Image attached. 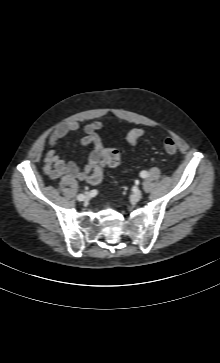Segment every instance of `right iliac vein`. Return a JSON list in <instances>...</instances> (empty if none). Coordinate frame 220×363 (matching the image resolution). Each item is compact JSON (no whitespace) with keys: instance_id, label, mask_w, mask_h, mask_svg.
<instances>
[{"instance_id":"63e3f726","label":"right iliac vein","mask_w":220,"mask_h":363,"mask_svg":"<svg viewBox=\"0 0 220 363\" xmlns=\"http://www.w3.org/2000/svg\"><path fill=\"white\" fill-rule=\"evenodd\" d=\"M89 198V194H86L85 196H84V199H88Z\"/></svg>"}]
</instances>
